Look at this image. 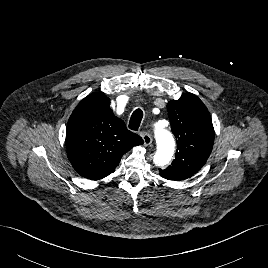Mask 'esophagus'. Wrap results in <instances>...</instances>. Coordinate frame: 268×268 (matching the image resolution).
I'll use <instances>...</instances> for the list:
<instances>
[{"label":"esophagus","instance_id":"obj_1","mask_svg":"<svg viewBox=\"0 0 268 268\" xmlns=\"http://www.w3.org/2000/svg\"><path fill=\"white\" fill-rule=\"evenodd\" d=\"M142 139H143L144 145H146V146H148L152 143V137L147 132H144L142 134Z\"/></svg>","mask_w":268,"mask_h":268}]
</instances>
